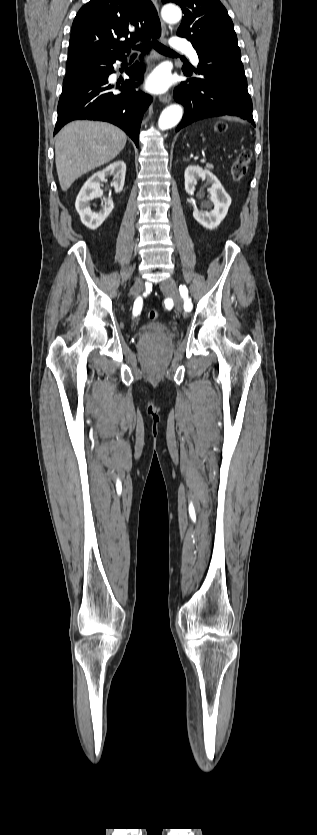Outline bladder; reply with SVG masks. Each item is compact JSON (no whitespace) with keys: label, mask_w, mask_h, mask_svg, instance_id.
Here are the masks:
<instances>
[{"label":"bladder","mask_w":317,"mask_h":835,"mask_svg":"<svg viewBox=\"0 0 317 835\" xmlns=\"http://www.w3.org/2000/svg\"><path fill=\"white\" fill-rule=\"evenodd\" d=\"M171 328L161 322H150L141 328V334L147 338H157L167 335Z\"/></svg>","instance_id":"31cf9c89"}]
</instances>
